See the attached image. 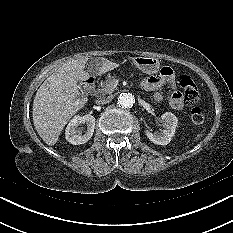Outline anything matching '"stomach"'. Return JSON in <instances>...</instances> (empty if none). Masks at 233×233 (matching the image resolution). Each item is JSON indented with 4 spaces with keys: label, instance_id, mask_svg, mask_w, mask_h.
Listing matches in <instances>:
<instances>
[{
    "label": "stomach",
    "instance_id": "obj_1",
    "mask_svg": "<svg viewBox=\"0 0 233 233\" xmlns=\"http://www.w3.org/2000/svg\"><path fill=\"white\" fill-rule=\"evenodd\" d=\"M134 64L146 74H154L159 70L160 62L155 57L139 56L134 58Z\"/></svg>",
    "mask_w": 233,
    "mask_h": 233
}]
</instances>
